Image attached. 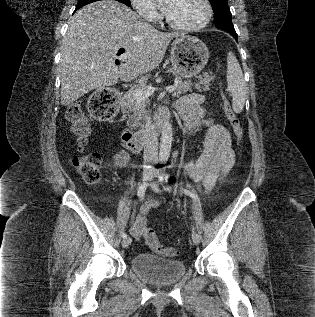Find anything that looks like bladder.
<instances>
[{
	"label": "bladder",
	"instance_id": "1",
	"mask_svg": "<svg viewBox=\"0 0 315 317\" xmlns=\"http://www.w3.org/2000/svg\"><path fill=\"white\" fill-rule=\"evenodd\" d=\"M131 269L143 280L154 285H167L178 281L186 272L185 264L150 253H138L130 260Z\"/></svg>",
	"mask_w": 315,
	"mask_h": 317
}]
</instances>
